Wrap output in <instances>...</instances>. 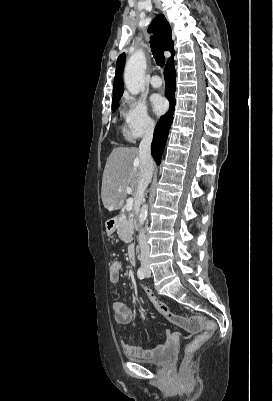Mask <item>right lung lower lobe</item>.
<instances>
[{
  "label": "right lung lower lobe",
  "mask_w": 273,
  "mask_h": 401,
  "mask_svg": "<svg viewBox=\"0 0 273 401\" xmlns=\"http://www.w3.org/2000/svg\"><path fill=\"white\" fill-rule=\"evenodd\" d=\"M175 69L173 62L170 61L166 64L164 69V77L166 81V88H165V96L170 101V109L169 111L163 115L154 131L153 142L151 145V154L156 161L157 165H160L162 153L164 150V146L166 144V140L168 137V131L173 121V114H174V106H175Z\"/></svg>",
  "instance_id": "1"
}]
</instances>
